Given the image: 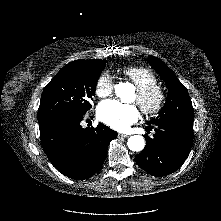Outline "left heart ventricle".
Listing matches in <instances>:
<instances>
[{
	"instance_id": "1",
	"label": "left heart ventricle",
	"mask_w": 221,
	"mask_h": 221,
	"mask_svg": "<svg viewBox=\"0 0 221 221\" xmlns=\"http://www.w3.org/2000/svg\"><path fill=\"white\" fill-rule=\"evenodd\" d=\"M134 100H136V95L134 96Z\"/></svg>"
}]
</instances>
